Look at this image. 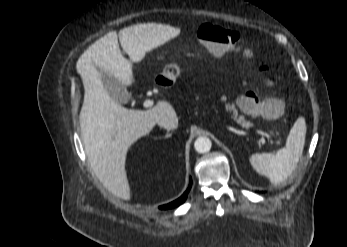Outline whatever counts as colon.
Here are the masks:
<instances>
[{"mask_svg":"<svg viewBox=\"0 0 347 247\" xmlns=\"http://www.w3.org/2000/svg\"><path fill=\"white\" fill-rule=\"evenodd\" d=\"M197 37L206 50L215 57H222L228 52L240 50L241 34L231 28L214 23L202 24L197 31ZM246 56L251 54L248 49H241ZM262 72L268 70L266 64L260 67ZM239 108L248 116L277 115L283 109V103L278 100H266L263 93L248 92L238 101Z\"/></svg>","mask_w":347,"mask_h":247,"instance_id":"1","label":"colon"}]
</instances>
